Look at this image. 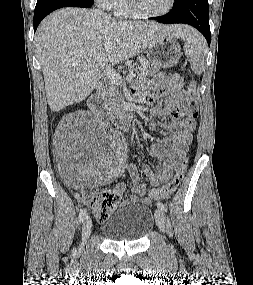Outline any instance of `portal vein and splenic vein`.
Masks as SVG:
<instances>
[{"mask_svg": "<svg viewBox=\"0 0 253 285\" xmlns=\"http://www.w3.org/2000/svg\"><path fill=\"white\" fill-rule=\"evenodd\" d=\"M98 65L103 70L106 77H108L111 82L113 83H121V76L119 73H117L110 64H108V61L105 59H102L100 56L95 57ZM136 77V74L134 72H130L126 76L127 81H132Z\"/></svg>", "mask_w": 253, "mask_h": 285, "instance_id": "obj_1", "label": "portal vein and splenic vein"}]
</instances>
